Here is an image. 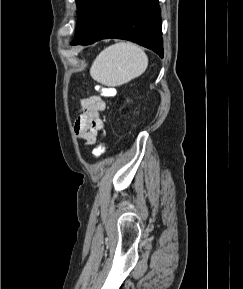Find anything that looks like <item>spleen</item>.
Segmentation results:
<instances>
[{
  "mask_svg": "<svg viewBox=\"0 0 243 289\" xmlns=\"http://www.w3.org/2000/svg\"><path fill=\"white\" fill-rule=\"evenodd\" d=\"M147 66L148 57L142 48L119 42L101 51L90 68V75L103 85L116 87L143 74Z\"/></svg>",
  "mask_w": 243,
  "mask_h": 289,
  "instance_id": "obj_1",
  "label": "spleen"
}]
</instances>
